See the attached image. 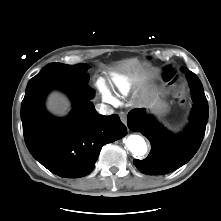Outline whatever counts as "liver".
Returning a JSON list of instances; mask_svg holds the SVG:
<instances>
[{
	"label": "liver",
	"mask_w": 221,
	"mask_h": 221,
	"mask_svg": "<svg viewBox=\"0 0 221 221\" xmlns=\"http://www.w3.org/2000/svg\"><path fill=\"white\" fill-rule=\"evenodd\" d=\"M133 64V61H129L126 66H130ZM139 106H143L142 100L138 101ZM68 106L67 101L59 96L58 94H53L50 96L48 101V107L51 111H54L55 113L62 114L66 110Z\"/></svg>",
	"instance_id": "liver-1"
}]
</instances>
